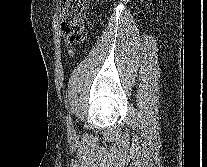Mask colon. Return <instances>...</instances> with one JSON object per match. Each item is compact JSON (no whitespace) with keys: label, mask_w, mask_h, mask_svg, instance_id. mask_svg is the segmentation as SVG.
Masks as SVG:
<instances>
[{"label":"colon","mask_w":207,"mask_h":167,"mask_svg":"<svg viewBox=\"0 0 207 167\" xmlns=\"http://www.w3.org/2000/svg\"><path fill=\"white\" fill-rule=\"evenodd\" d=\"M89 0H63L61 29L69 44L81 42L86 37L84 21Z\"/></svg>","instance_id":"colon-1"}]
</instances>
